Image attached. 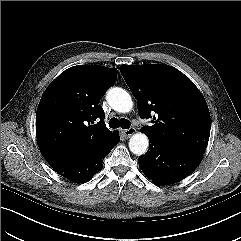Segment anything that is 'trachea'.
I'll list each match as a JSON object with an SVG mask.
<instances>
[{"instance_id": "1", "label": "trachea", "mask_w": 241, "mask_h": 241, "mask_svg": "<svg viewBox=\"0 0 241 241\" xmlns=\"http://www.w3.org/2000/svg\"><path fill=\"white\" fill-rule=\"evenodd\" d=\"M109 126L110 128L121 127L123 129H128L130 127V122L125 118H121L120 120H118L117 118H111L109 122Z\"/></svg>"}]
</instances>
